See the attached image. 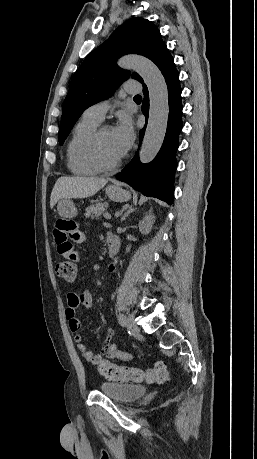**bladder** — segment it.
Segmentation results:
<instances>
[{"label":"bladder","instance_id":"31cf9c89","mask_svg":"<svg viewBox=\"0 0 257 459\" xmlns=\"http://www.w3.org/2000/svg\"><path fill=\"white\" fill-rule=\"evenodd\" d=\"M99 390L121 403L133 402L143 397L147 392L146 387L142 385L115 382H102L99 385Z\"/></svg>","mask_w":257,"mask_h":459}]
</instances>
